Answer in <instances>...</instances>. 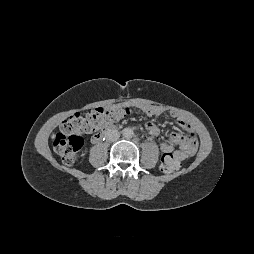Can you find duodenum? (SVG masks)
I'll list each match as a JSON object with an SVG mask.
<instances>
[{
    "mask_svg": "<svg viewBox=\"0 0 254 254\" xmlns=\"http://www.w3.org/2000/svg\"><path fill=\"white\" fill-rule=\"evenodd\" d=\"M106 134H107V131H102V132H100V133L95 134V135L93 136V138H92V142H93V143H98V142H100Z\"/></svg>",
    "mask_w": 254,
    "mask_h": 254,
    "instance_id": "1",
    "label": "duodenum"
}]
</instances>
